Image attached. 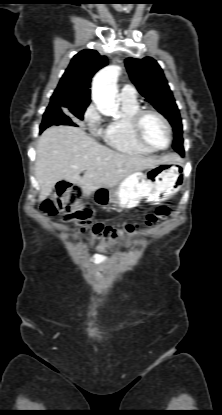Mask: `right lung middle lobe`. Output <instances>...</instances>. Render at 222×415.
<instances>
[{"instance_id":"right-lung-middle-lobe-1","label":"right lung middle lobe","mask_w":222,"mask_h":415,"mask_svg":"<svg viewBox=\"0 0 222 415\" xmlns=\"http://www.w3.org/2000/svg\"><path fill=\"white\" fill-rule=\"evenodd\" d=\"M88 104H62V105H49L46 112L49 114L57 113L58 115L63 116V121L65 124L73 125V121L65 113H70L71 115L77 117L80 120H83L84 112ZM75 126V125H73Z\"/></svg>"}]
</instances>
